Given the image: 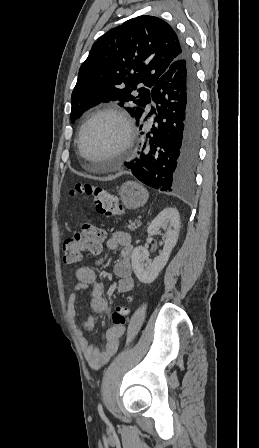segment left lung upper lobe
I'll return each mask as SVG.
<instances>
[{"mask_svg":"<svg viewBox=\"0 0 259 448\" xmlns=\"http://www.w3.org/2000/svg\"><path fill=\"white\" fill-rule=\"evenodd\" d=\"M182 54L180 37L155 16H139L109 30L93 44L79 69L71 96V121L109 101H119L120 106L134 103L125 109L133 117L140 115L151 101L152 88Z\"/></svg>","mask_w":259,"mask_h":448,"instance_id":"5c2ea615","label":"left lung upper lobe"}]
</instances>
